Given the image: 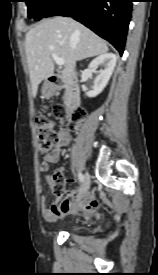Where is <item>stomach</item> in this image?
Returning a JSON list of instances; mask_svg holds the SVG:
<instances>
[{
	"mask_svg": "<svg viewBox=\"0 0 158 275\" xmlns=\"http://www.w3.org/2000/svg\"><path fill=\"white\" fill-rule=\"evenodd\" d=\"M42 94L45 97H49L51 95V90L47 87L46 84H44L43 87H42Z\"/></svg>",
	"mask_w": 158,
	"mask_h": 275,
	"instance_id": "stomach-1",
	"label": "stomach"
}]
</instances>
